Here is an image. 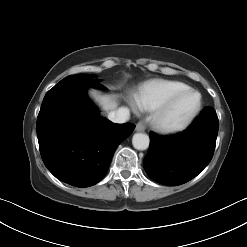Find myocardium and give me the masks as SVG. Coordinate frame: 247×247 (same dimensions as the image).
<instances>
[{
    "mask_svg": "<svg viewBox=\"0 0 247 247\" xmlns=\"http://www.w3.org/2000/svg\"><path fill=\"white\" fill-rule=\"evenodd\" d=\"M194 94L197 96V103L192 111L180 122L170 124L167 122V117L171 112L174 105L185 95ZM203 104V98L199 91L188 88L182 90L174 95H172L167 101H165L162 105L157 107L152 116V124L156 131L163 135H176L186 131L192 123L197 118L198 114L201 111Z\"/></svg>",
    "mask_w": 247,
    "mask_h": 247,
    "instance_id": "1",
    "label": "myocardium"
}]
</instances>
